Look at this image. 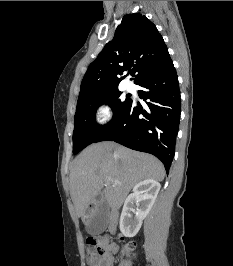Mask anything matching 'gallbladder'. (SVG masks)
<instances>
[{
	"label": "gallbladder",
	"mask_w": 233,
	"mask_h": 266,
	"mask_svg": "<svg viewBox=\"0 0 233 266\" xmlns=\"http://www.w3.org/2000/svg\"><path fill=\"white\" fill-rule=\"evenodd\" d=\"M109 214L105 202L100 204L97 212L89 220L86 231L91 235H99L105 231L108 226Z\"/></svg>",
	"instance_id": "1"
}]
</instances>
